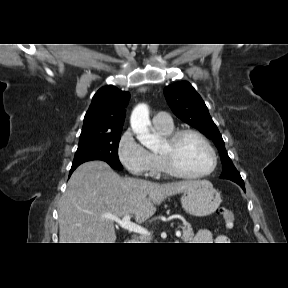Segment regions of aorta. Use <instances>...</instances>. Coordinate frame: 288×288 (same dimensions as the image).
<instances>
[{
	"mask_svg": "<svg viewBox=\"0 0 288 288\" xmlns=\"http://www.w3.org/2000/svg\"><path fill=\"white\" fill-rule=\"evenodd\" d=\"M130 123L133 133L142 145L151 150L158 147L159 140L151 134L149 129L151 122L147 105L139 104L135 107L131 114Z\"/></svg>",
	"mask_w": 288,
	"mask_h": 288,
	"instance_id": "obj_1",
	"label": "aorta"
}]
</instances>
